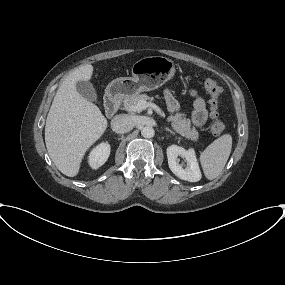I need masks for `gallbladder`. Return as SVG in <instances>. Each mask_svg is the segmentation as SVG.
Instances as JSON below:
<instances>
[{
  "label": "gallbladder",
  "instance_id": "bac80fb5",
  "mask_svg": "<svg viewBox=\"0 0 285 285\" xmlns=\"http://www.w3.org/2000/svg\"><path fill=\"white\" fill-rule=\"evenodd\" d=\"M78 93L88 101L97 102V94L89 81H78L76 84Z\"/></svg>",
  "mask_w": 285,
  "mask_h": 285
}]
</instances>
